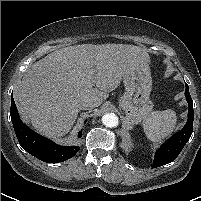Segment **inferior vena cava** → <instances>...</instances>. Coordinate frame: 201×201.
Instances as JSON below:
<instances>
[{
    "label": "inferior vena cava",
    "instance_id": "1",
    "mask_svg": "<svg viewBox=\"0 0 201 201\" xmlns=\"http://www.w3.org/2000/svg\"><path fill=\"white\" fill-rule=\"evenodd\" d=\"M93 107H94V104L90 101H83L78 104V108L80 110H88V109H92Z\"/></svg>",
    "mask_w": 201,
    "mask_h": 201
}]
</instances>
